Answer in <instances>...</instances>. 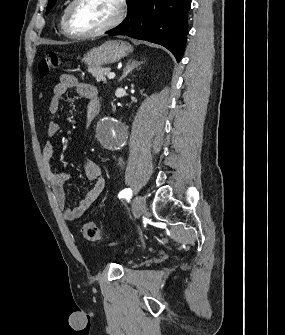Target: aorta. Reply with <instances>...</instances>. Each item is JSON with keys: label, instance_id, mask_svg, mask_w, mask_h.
Returning <instances> with one entry per match:
<instances>
[{"label": "aorta", "instance_id": "obj_1", "mask_svg": "<svg viewBox=\"0 0 285 335\" xmlns=\"http://www.w3.org/2000/svg\"><path fill=\"white\" fill-rule=\"evenodd\" d=\"M92 134L97 137V147H106L107 152H120L129 130L121 125V119H94Z\"/></svg>", "mask_w": 285, "mask_h": 335}]
</instances>
